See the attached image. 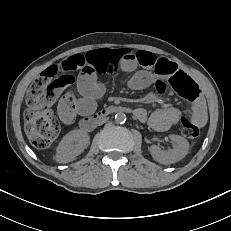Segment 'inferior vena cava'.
<instances>
[{
    "label": "inferior vena cava",
    "instance_id": "obj_1",
    "mask_svg": "<svg viewBox=\"0 0 231 231\" xmlns=\"http://www.w3.org/2000/svg\"><path fill=\"white\" fill-rule=\"evenodd\" d=\"M109 121H110V118H109V117L101 118V119L98 121V125H99V126H102L103 123H106V122H109Z\"/></svg>",
    "mask_w": 231,
    "mask_h": 231
}]
</instances>
